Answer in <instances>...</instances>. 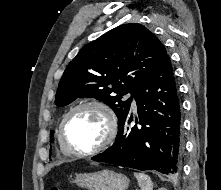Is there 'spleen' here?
I'll return each instance as SVG.
<instances>
[{"mask_svg":"<svg viewBox=\"0 0 221 190\" xmlns=\"http://www.w3.org/2000/svg\"><path fill=\"white\" fill-rule=\"evenodd\" d=\"M141 190H153L151 178L144 173H134Z\"/></svg>","mask_w":221,"mask_h":190,"instance_id":"3e777b00","label":"spleen"}]
</instances>
